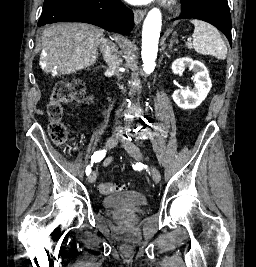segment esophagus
I'll list each match as a JSON object with an SVG mask.
<instances>
[{
	"instance_id": "1",
	"label": "esophagus",
	"mask_w": 256,
	"mask_h": 267,
	"mask_svg": "<svg viewBox=\"0 0 256 267\" xmlns=\"http://www.w3.org/2000/svg\"><path fill=\"white\" fill-rule=\"evenodd\" d=\"M146 14V10H140V9H137L134 11V21H135V24H139L144 16Z\"/></svg>"
}]
</instances>
